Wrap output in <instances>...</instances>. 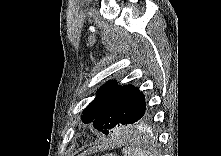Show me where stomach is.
<instances>
[{"label": "stomach", "mask_w": 221, "mask_h": 156, "mask_svg": "<svg viewBox=\"0 0 221 156\" xmlns=\"http://www.w3.org/2000/svg\"><path fill=\"white\" fill-rule=\"evenodd\" d=\"M105 156H114V155H112V154H107V155H105Z\"/></svg>", "instance_id": "0dacf381"}]
</instances>
